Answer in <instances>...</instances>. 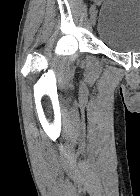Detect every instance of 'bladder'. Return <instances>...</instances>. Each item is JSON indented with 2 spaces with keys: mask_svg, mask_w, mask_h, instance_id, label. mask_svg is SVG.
Returning a JSON list of instances; mask_svg holds the SVG:
<instances>
[{
  "mask_svg": "<svg viewBox=\"0 0 140 196\" xmlns=\"http://www.w3.org/2000/svg\"><path fill=\"white\" fill-rule=\"evenodd\" d=\"M97 34L117 53H140V0H104Z\"/></svg>",
  "mask_w": 140,
  "mask_h": 196,
  "instance_id": "31cf9c89",
  "label": "bladder"
}]
</instances>
